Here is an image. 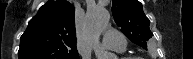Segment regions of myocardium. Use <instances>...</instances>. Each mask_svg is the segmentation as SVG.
<instances>
[{
  "instance_id": "myocardium-1",
  "label": "myocardium",
  "mask_w": 193,
  "mask_h": 59,
  "mask_svg": "<svg viewBox=\"0 0 193 59\" xmlns=\"http://www.w3.org/2000/svg\"><path fill=\"white\" fill-rule=\"evenodd\" d=\"M121 59H142V58L127 56V57H122Z\"/></svg>"
}]
</instances>
